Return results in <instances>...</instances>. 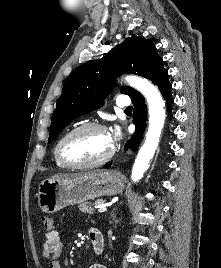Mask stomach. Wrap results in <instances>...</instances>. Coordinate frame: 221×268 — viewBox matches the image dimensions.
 Here are the masks:
<instances>
[{"instance_id":"stomach-1","label":"stomach","mask_w":221,"mask_h":268,"mask_svg":"<svg viewBox=\"0 0 221 268\" xmlns=\"http://www.w3.org/2000/svg\"><path fill=\"white\" fill-rule=\"evenodd\" d=\"M124 189V177L115 171L76 179H46L38 186V206L45 213H55L66 206L83 203L104 195H115Z\"/></svg>"}]
</instances>
